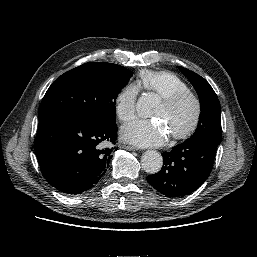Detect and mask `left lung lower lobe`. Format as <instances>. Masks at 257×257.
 <instances>
[{
  "label": "left lung lower lobe",
  "mask_w": 257,
  "mask_h": 257,
  "mask_svg": "<svg viewBox=\"0 0 257 257\" xmlns=\"http://www.w3.org/2000/svg\"><path fill=\"white\" fill-rule=\"evenodd\" d=\"M219 144L206 139H187L170 152L162 154V169L148 176V183L168 197L191 194L205 182L212 171Z\"/></svg>",
  "instance_id": "obj_1"
}]
</instances>
